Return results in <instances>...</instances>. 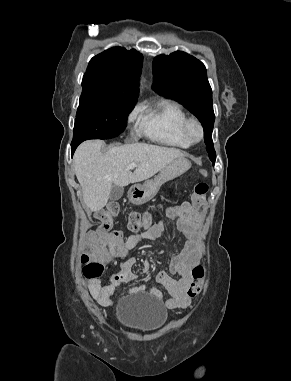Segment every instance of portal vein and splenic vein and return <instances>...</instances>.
Returning a JSON list of instances; mask_svg holds the SVG:
<instances>
[{"instance_id": "1", "label": "portal vein and splenic vein", "mask_w": 291, "mask_h": 381, "mask_svg": "<svg viewBox=\"0 0 291 381\" xmlns=\"http://www.w3.org/2000/svg\"><path fill=\"white\" fill-rule=\"evenodd\" d=\"M135 167H136V164H135V163H131V164L128 166L129 169H134Z\"/></svg>"}]
</instances>
